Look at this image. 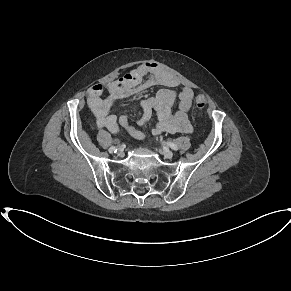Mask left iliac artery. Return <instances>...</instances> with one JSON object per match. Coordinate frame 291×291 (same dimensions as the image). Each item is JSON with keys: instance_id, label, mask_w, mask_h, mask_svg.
<instances>
[{"instance_id": "left-iliac-artery-1", "label": "left iliac artery", "mask_w": 291, "mask_h": 291, "mask_svg": "<svg viewBox=\"0 0 291 291\" xmlns=\"http://www.w3.org/2000/svg\"><path fill=\"white\" fill-rule=\"evenodd\" d=\"M171 149L177 151L178 150V146L176 144H174L173 142H165Z\"/></svg>"}]
</instances>
